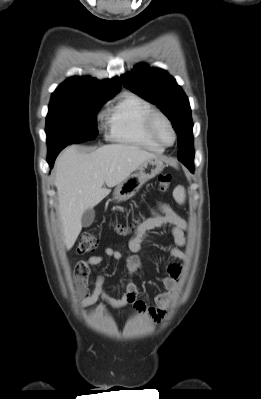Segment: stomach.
Masks as SVG:
<instances>
[{
    "instance_id": "obj_1",
    "label": "stomach",
    "mask_w": 261,
    "mask_h": 399,
    "mask_svg": "<svg viewBox=\"0 0 261 399\" xmlns=\"http://www.w3.org/2000/svg\"><path fill=\"white\" fill-rule=\"evenodd\" d=\"M164 169L159 158L148 159L142 163L130 176L119 183L114 189L113 197L117 201H125L133 197L140 188Z\"/></svg>"
}]
</instances>
